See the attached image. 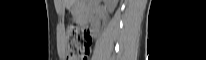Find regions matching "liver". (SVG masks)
<instances>
[{
	"instance_id": "6515ba94",
	"label": "liver",
	"mask_w": 206,
	"mask_h": 60,
	"mask_svg": "<svg viewBox=\"0 0 206 60\" xmlns=\"http://www.w3.org/2000/svg\"><path fill=\"white\" fill-rule=\"evenodd\" d=\"M110 2L112 3V9H113L114 6L117 4V0H111ZM61 3H63L66 6H71L73 3V0H61Z\"/></svg>"
}]
</instances>
